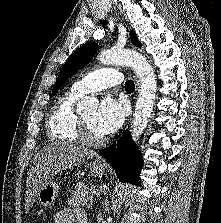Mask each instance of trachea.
Returning a JSON list of instances; mask_svg holds the SVG:
<instances>
[{"label": "trachea", "instance_id": "1", "mask_svg": "<svg viewBox=\"0 0 221 223\" xmlns=\"http://www.w3.org/2000/svg\"><path fill=\"white\" fill-rule=\"evenodd\" d=\"M125 89L127 92H132L135 89V84L132 80H128L125 83Z\"/></svg>", "mask_w": 221, "mask_h": 223}]
</instances>
